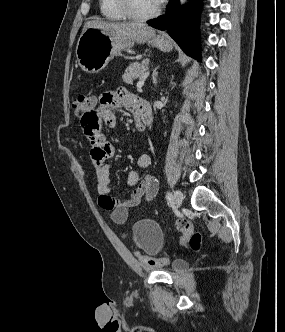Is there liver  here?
I'll use <instances>...</instances> for the list:
<instances>
[{"instance_id":"liver-1","label":"liver","mask_w":285,"mask_h":332,"mask_svg":"<svg viewBox=\"0 0 285 332\" xmlns=\"http://www.w3.org/2000/svg\"><path fill=\"white\" fill-rule=\"evenodd\" d=\"M87 28H97L107 32L112 36H117L124 38L132 43H145L148 41L154 34L155 29L147 26L143 23H113L106 22L101 20H92L88 21L84 25V29Z\"/></svg>"}]
</instances>
